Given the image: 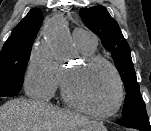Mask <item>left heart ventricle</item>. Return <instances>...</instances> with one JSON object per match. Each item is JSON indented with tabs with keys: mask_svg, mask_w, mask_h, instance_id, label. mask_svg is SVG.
Wrapping results in <instances>:
<instances>
[{
	"mask_svg": "<svg viewBox=\"0 0 151 131\" xmlns=\"http://www.w3.org/2000/svg\"><path fill=\"white\" fill-rule=\"evenodd\" d=\"M70 88L77 99L96 111L109 110L117 97L115 78L103 64H95L79 72L71 80Z\"/></svg>",
	"mask_w": 151,
	"mask_h": 131,
	"instance_id": "1",
	"label": "left heart ventricle"
}]
</instances>
